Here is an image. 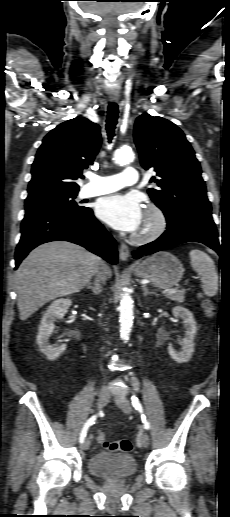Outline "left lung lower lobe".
I'll list each match as a JSON object with an SVG mask.
<instances>
[{"instance_id": "0a47b994", "label": "left lung lower lobe", "mask_w": 230, "mask_h": 517, "mask_svg": "<svg viewBox=\"0 0 230 517\" xmlns=\"http://www.w3.org/2000/svg\"><path fill=\"white\" fill-rule=\"evenodd\" d=\"M200 242L214 249L219 255L222 248L218 242L215 223L210 213L185 215L176 223H167V230L157 240L143 245L133 252L134 258L150 255L162 249L185 242Z\"/></svg>"}]
</instances>
